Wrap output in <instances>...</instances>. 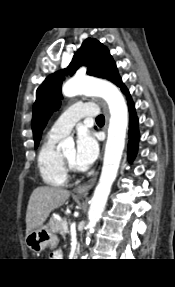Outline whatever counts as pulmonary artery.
Wrapping results in <instances>:
<instances>
[{"mask_svg":"<svg viewBox=\"0 0 175 287\" xmlns=\"http://www.w3.org/2000/svg\"><path fill=\"white\" fill-rule=\"evenodd\" d=\"M98 108L93 103L74 104L70 106L52 125L50 133L54 136H66L80 119L96 116Z\"/></svg>","mask_w":175,"mask_h":287,"instance_id":"obj_1","label":"pulmonary artery"}]
</instances>
